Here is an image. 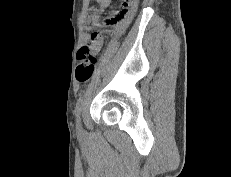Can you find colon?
I'll list each match as a JSON object with an SVG mask.
<instances>
[{"mask_svg":"<svg viewBox=\"0 0 231 177\" xmlns=\"http://www.w3.org/2000/svg\"><path fill=\"white\" fill-rule=\"evenodd\" d=\"M109 1V0H108ZM138 0H124L123 9L113 17H110L106 20L107 25H113L117 22L127 18L135 10ZM92 39H100L98 33L92 35ZM77 58V67L75 76L79 83H85L89 81L94 73L96 66V59L92 54L89 46L81 47L76 55Z\"/></svg>","mask_w":231,"mask_h":177,"instance_id":"5ec220e1","label":"colon"}]
</instances>
